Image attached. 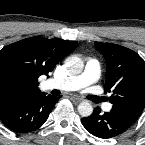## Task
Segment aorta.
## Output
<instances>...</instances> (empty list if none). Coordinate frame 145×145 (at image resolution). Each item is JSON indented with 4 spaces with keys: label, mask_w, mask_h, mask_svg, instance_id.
I'll return each mask as SVG.
<instances>
[{
    "label": "aorta",
    "mask_w": 145,
    "mask_h": 145,
    "mask_svg": "<svg viewBox=\"0 0 145 145\" xmlns=\"http://www.w3.org/2000/svg\"><path fill=\"white\" fill-rule=\"evenodd\" d=\"M66 66L72 75H78L83 71L84 63L78 56H71L66 60ZM78 112L81 116L88 117L92 114L93 107L89 102L83 101L78 105Z\"/></svg>",
    "instance_id": "obj_1"
}]
</instances>
